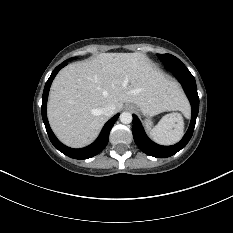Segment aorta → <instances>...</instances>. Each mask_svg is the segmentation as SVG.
Listing matches in <instances>:
<instances>
[{
    "instance_id": "obj_1",
    "label": "aorta",
    "mask_w": 233,
    "mask_h": 233,
    "mask_svg": "<svg viewBox=\"0 0 233 233\" xmlns=\"http://www.w3.org/2000/svg\"><path fill=\"white\" fill-rule=\"evenodd\" d=\"M119 118H120L121 123L123 124H130L133 119L132 114L129 112H122Z\"/></svg>"
}]
</instances>
